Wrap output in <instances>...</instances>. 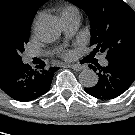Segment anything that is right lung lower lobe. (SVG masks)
<instances>
[{
    "label": "right lung lower lobe",
    "mask_w": 135,
    "mask_h": 135,
    "mask_svg": "<svg viewBox=\"0 0 135 135\" xmlns=\"http://www.w3.org/2000/svg\"><path fill=\"white\" fill-rule=\"evenodd\" d=\"M58 69L40 67V70H34L22 61L0 58V89L15 100L32 101L49 91L54 72Z\"/></svg>",
    "instance_id": "obj_1"
}]
</instances>
